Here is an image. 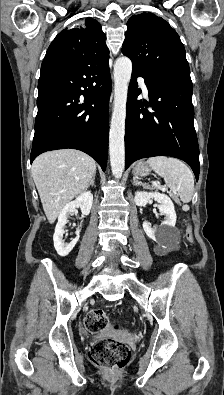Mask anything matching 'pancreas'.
Here are the masks:
<instances>
[{"instance_id": "pancreas-1", "label": "pancreas", "mask_w": 224, "mask_h": 395, "mask_svg": "<svg viewBox=\"0 0 224 395\" xmlns=\"http://www.w3.org/2000/svg\"><path fill=\"white\" fill-rule=\"evenodd\" d=\"M172 197L174 198V200H175L176 202H178L176 196L172 195Z\"/></svg>"}]
</instances>
